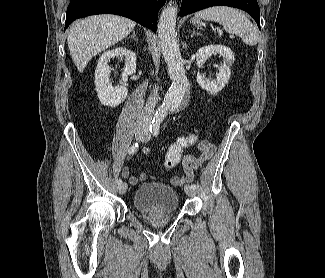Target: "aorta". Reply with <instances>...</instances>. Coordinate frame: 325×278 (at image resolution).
I'll return each instance as SVG.
<instances>
[{"label":"aorta","mask_w":325,"mask_h":278,"mask_svg":"<svg viewBox=\"0 0 325 278\" xmlns=\"http://www.w3.org/2000/svg\"><path fill=\"white\" fill-rule=\"evenodd\" d=\"M177 12V6L170 4L162 10L158 21V37L172 84L165 95L163 104L156 112L157 122H162L168 111L180 107L189 88L183 59L176 40Z\"/></svg>","instance_id":"aorta-1"}]
</instances>
